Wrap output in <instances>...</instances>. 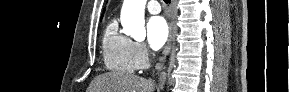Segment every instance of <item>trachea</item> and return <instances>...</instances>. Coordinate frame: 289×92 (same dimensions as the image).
Returning a JSON list of instances; mask_svg holds the SVG:
<instances>
[{
	"instance_id": "obj_1",
	"label": "trachea",
	"mask_w": 289,
	"mask_h": 92,
	"mask_svg": "<svg viewBox=\"0 0 289 92\" xmlns=\"http://www.w3.org/2000/svg\"><path fill=\"white\" fill-rule=\"evenodd\" d=\"M164 2H165V3H169V2H170V0H164Z\"/></svg>"
}]
</instances>
